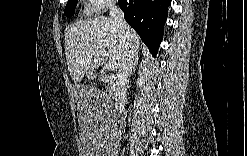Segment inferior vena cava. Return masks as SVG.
Wrapping results in <instances>:
<instances>
[{
	"mask_svg": "<svg viewBox=\"0 0 247 156\" xmlns=\"http://www.w3.org/2000/svg\"><path fill=\"white\" fill-rule=\"evenodd\" d=\"M110 17L116 24L124 37V53L119 64L118 79L115 85V100L118 107L124 111L127 96H126V83L128 76L132 72L134 61L137 57V48L131 40V29L124 19L123 11L120 9L116 2L110 4Z\"/></svg>",
	"mask_w": 247,
	"mask_h": 156,
	"instance_id": "obj_1",
	"label": "inferior vena cava"
}]
</instances>
